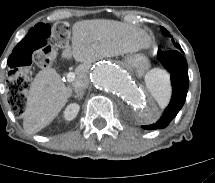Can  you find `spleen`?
Here are the masks:
<instances>
[{"label":"spleen","instance_id":"spleen-1","mask_svg":"<svg viewBox=\"0 0 215 183\" xmlns=\"http://www.w3.org/2000/svg\"><path fill=\"white\" fill-rule=\"evenodd\" d=\"M145 82L159 106L165 107L171 95L169 75L164 70L153 69L145 75Z\"/></svg>","mask_w":215,"mask_h":183}]
</instances>
